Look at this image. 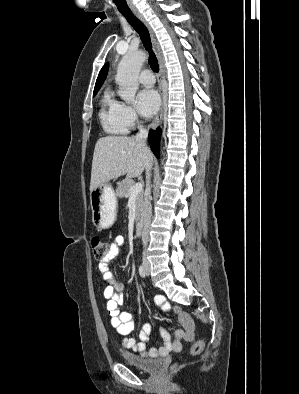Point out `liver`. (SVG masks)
Returning <instances> with one entry per match:
<instances>
[{
	"label": "liver",
	"instance_id": "liver-1",
	"mask_svg": "<svg viewBox=\"0 0 299 394\" xmlns=\"http://www.w3.org/2000/svg\"><path fill=\"white\" fill-rule=\"evenodd\" d=\"M152 161L150 149L135 137H101L94 149L90 191L123 175L138 177Z\"/></svg>",
	"mask_w": 299,
	"mask_h": 394
}]
</instances>
